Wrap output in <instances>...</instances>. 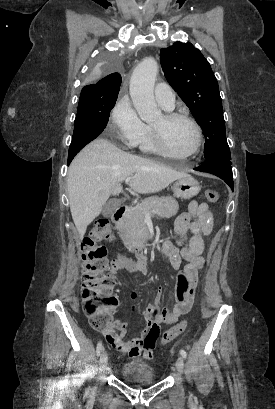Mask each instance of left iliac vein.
I'll return each instance as SVG.
<instances>
[{
    "label": "left iliac vein",
    "mask_w": 275,
    "mask_h": 409,
    "mask_svg": "<svg viewBox=\"0 0 275 409\" xmlns=\"http://www.w3.org/2000/svg\"><path fill=\"white\" fill-rule=\"evenodd\" d=\"M176 369L177 371L182 374L184 370V360L182 357H178L176 361Z\"/></svg>",
    "instance_id": "left-iliac-vein-1"
}]
</instances>
